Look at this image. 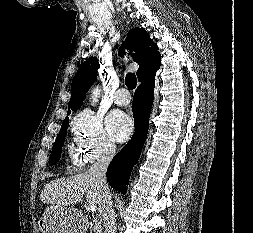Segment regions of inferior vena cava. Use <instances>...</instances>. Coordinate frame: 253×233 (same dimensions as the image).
Wrapping results in <instances>:
<instances>
[{"label": "inferior vena cava", "mask_w": 253, "mask_h": 233, "mask_svg": "<svg viewBox=\"0 0 253 233\" xmlns=\"http://www.w3.org/2000/svg\"><path fill=\"white\" fill-rule=\"evenodd\" d=\"M116 152L114 142L104 143L100 156L92 164L88 172L94 176L100 186L99 194V212L104 225V233H116L115 212L112 204V197L106 181V171L110 161Z\"/></svg>", "instance_id": "1"}]
</instances>
